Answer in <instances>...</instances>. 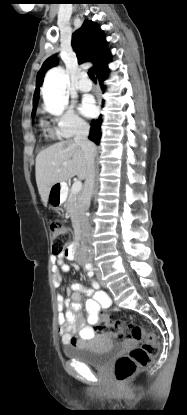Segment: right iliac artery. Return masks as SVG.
<instances>
[{"label":"right iliac artery","instance_id":"1","mask_svg":"<svg viewBox=\"0 0 187 415\" xmlns=\"http://www.w3.org/2000/svg\"><path fill=\"white\" fill-rule=\"evenodd\" d=\"M91 268H92V266H91V265H87V266H86V269H87V270H90Z\"/></svg>","mask_w":187,"mask_h":415}]
</instances>
